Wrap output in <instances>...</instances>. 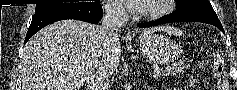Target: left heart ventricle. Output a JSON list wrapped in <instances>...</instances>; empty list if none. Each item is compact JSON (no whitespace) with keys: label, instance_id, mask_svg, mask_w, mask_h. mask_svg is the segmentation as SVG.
Returning a JSON list of instances; mask_svg holds the SVG:
<instances>
[{"label":"left heart ventricle","instance_id":"left-heart-ventricle-1","mask_svg":"<svg viewBox=\"0 0 237 90\" xmlns=\"http://www.w3.org/2000/svg\"><path fill=\"white\" fill-rule=\"evenodd\" d=\"M141 5H145L151 9H155L159 6L158 2H154V1H144Z\"/></svg>","mask_w":237,"mask_h":90}]
</instances>
